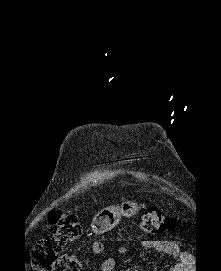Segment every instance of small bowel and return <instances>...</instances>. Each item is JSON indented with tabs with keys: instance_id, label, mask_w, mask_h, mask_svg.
Masks as SVG:
<instances>
[{
	"instance_id": "c3829d8e",
	"label": "small bowel",
	"mask_w": 221,
	"mask_h": 271,
	"mask_svg": "<svg viewBox=\"0 0 221 271\" xmlns=\"http://www.w3.org/2000/svg\"><path fill=\"white\" fill-rule=\"evenodd\" d=\"M141 246L145 250H156L165 254L180 257V263L175 265L171 271H190L192 257L187 252L179 253L178 244L174 240L170 239H143L141 240ZM120 253L126 252V248L119 249ZM116 260L113 257L106 258L100 264V271H114Z\"/></svg>"
}]
</instances>
